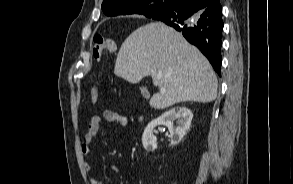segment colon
<instances>
[{
	"label": "colon",
	"mask_w": 293,
	"mask_h": 184,
	"mask_svg": "<svg viewBox=\"0 0 293 184\" xmlns=\"http://www.w3.org/2000/svg\"><path fill=\"white\" fill-rule=\"evenodd\" d=\"M116 50L117 45L113 39L101 35H96L93 38L92 53L96 61H100L105 52L114 53ZM90 99L92 103H95L98 99V87L96 85H93L91 89Z\"/></svg>",
	"instance_id": "obj_1"
}]
</instances>
